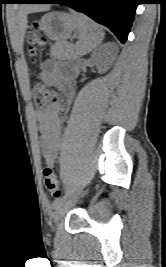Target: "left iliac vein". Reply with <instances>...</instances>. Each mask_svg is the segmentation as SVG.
<instances>
[{
    "mask_svg": "<svg viewBox=\"0 0 166 267\" xmlns=\"http://www.w3.org/2000/svg\"><path fill=\"white\" fill-rule=\"evenodd\" d=\"M78 197H72L71 199L64 202L53 215L54 222H58L63 218V216L67 213V211L77 202Z\"/></svg>",
    "mask_w": 166,
    "mask_h": 267,
    "instance_id": "left-iliac-vein-1",
    "label": "left iliac vein"
}]
</instances>
